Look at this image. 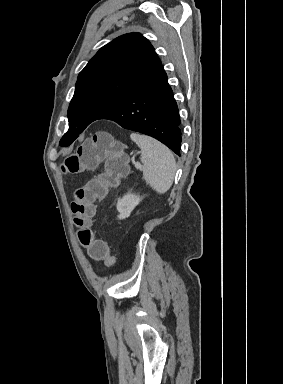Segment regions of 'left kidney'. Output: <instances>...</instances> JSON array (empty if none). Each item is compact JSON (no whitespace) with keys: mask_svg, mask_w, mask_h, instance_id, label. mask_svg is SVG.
I'll use <instances>...</instances> for the list:
<instances>
[{"mask_svg":"<svg viewBox=\"0 0 283 384\" xmlns=\"http://www.w3.org/2000/svg\"><path fill=\"white\" fill-rule=\"evenodd\" d=\"M139 202L140 198L139 196H135V194H126L123 198H119L117 202L118 218H120V220L129 218L131 212L138 206Z\"/></svg>","mask_w":283,"mask_h":384,"instance_id":"1","label":"left kidney"}]
</instances>
